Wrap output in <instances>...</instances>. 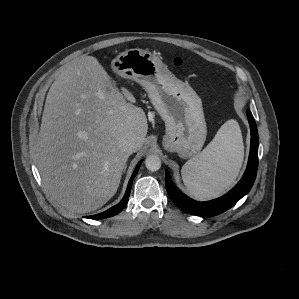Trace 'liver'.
Instances as JSON below:
<instances>
[{
  "label": "liver",
  "instance_id": "liver-1",
  "mask_svg": "<svg viewBox=\"0 0 299 299\" xmlns=\"http://www.w3.org/2000/svg\"><path fill=\"white\" fill-rule=\"evenodd\" d=\"M147 131L143 109L126 101L99 61L77 58L53 82L45 102L36 144L45 188L70 211L97 210L120 184L129 157L120 143L134 140L139 151Z\"/></svg>",
  "mask_w": 299,
  "mask_h": 299
}]
</instances>
